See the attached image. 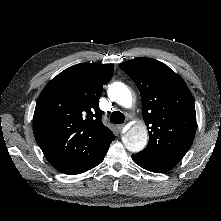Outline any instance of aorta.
Instances as JSON below:
<instances>
[{
	"instance_id": "762f6f07",
	"label": "aorta",
	"mask_w": 221,
	"mask_h": 221,
	"mask_svg": "<svg viewBox=\"0 0 221 221\" xmlns=\"http://www.w3.org/2000/svg\"><path fill=\"white\" fill-rule=\"evenodd\" d=\"M109 97L122 107L129 108L132 105L130 89L121 82H114L108 89ZM148 140L147 128L144 124L131 127L123 136V143L130 152L142 151Z\"/></svg>"
}]
</instances>
